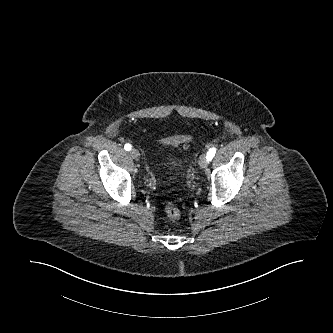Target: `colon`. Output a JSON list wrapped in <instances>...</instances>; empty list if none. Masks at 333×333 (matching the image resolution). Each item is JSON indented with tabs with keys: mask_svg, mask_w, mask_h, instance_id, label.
<instances>
[{
	"mask_svg": "<svg viewBox=\"0 0 333 333\" xmlns=\"http://www.w3.org/2000/svg\"><path fill=\"white\" fill-rule=\"evenodd\" d=\"M191 141V137L185 136V135H176L173 137H168L164 139V143L168 145H180V144H187ZM165 212L167 216L172 220H177L181 216L180 209L173 205V204H167L165 206Z\"/></svg>",
	"mask_w": 333,
	"mask_h": 333,
	"instance_id": "obj_1",
	"label": "colon"
}]
</instances>
